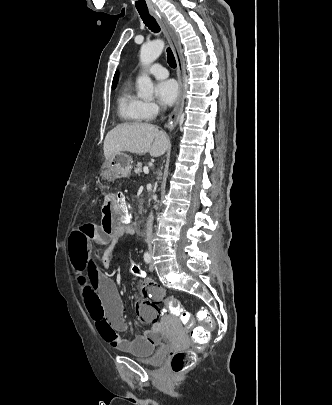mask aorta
Segmentation results:
<instances>
[{
	"label": "aorta",
	"instance_id": "obj_1",
	"mask_svg": "<svg viewBox=\"0 0 332 405\" xmlns=\"http://www.w3.org/2000/svg\"><path fill=\"white\" fill-rule=\"evenodd\" d=\"M164 49V42L156 39L150 43L143 44L140 50V62L143 67L153 63L162 53ZM139 95L143 98H150L153 94V83L151 78L143 74L137 79Z\"/></svg>",
	"mask_w": 332,
	"mask_h": 405
}]
</instances>
